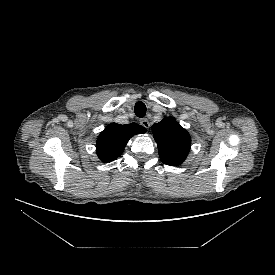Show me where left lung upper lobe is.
<instances>
[{
  "label": "left lung upper lobe",
  "mask_w": 275,
  "mask_h": 275,
  "mask_svg": "<svg viewBox=\"0 0 275 275\" xmlns=\"http://www.w3.org/2000/svg\"><path fill=\"white\" fill-rule=\"evenodd\" d=\"M152 131L161 161L172 166L180 165L190 151L189 133L175 121L174 117H166L161 122L153 124Z\"/></svg>",
  "instance_id": "1"
}]
</instances>
